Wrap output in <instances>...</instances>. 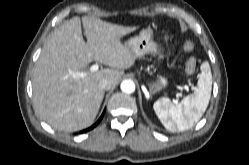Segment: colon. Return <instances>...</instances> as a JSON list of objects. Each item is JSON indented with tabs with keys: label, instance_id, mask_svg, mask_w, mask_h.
Segmentation results:
<instances>
[{
	"label": "colon",
	"instance_id": "5ec220e1",
	"mask_svg": "<svg viewBox=\"0 0 249 165\" xmlns=\"http://www.w3.org/2000/svg\"><path fill=\"white\" fill-rule=\"evenodd\" d=\"M184 49L187 53L191 54L194 49L193 42L190 40H186L184 42ZM195 69H196V59L194 56L190 55L186 62V67H185L186 73L188 75H193L195 72Z\"/></svg>",
	"mask_w": 249,
	"mask_h": 165
}]
</instances>
